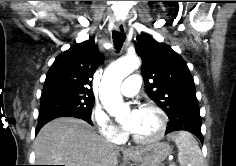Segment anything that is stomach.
<instances>
[{"instance_id": "stomach-1", "label": "stomach", "mask_w": 236, "mask_h": 166, "mask_svg": "<svg viewBox=\"0 0 236 166\" xmlns=\"http://www.w3.org/2000/svg\"><path fill=\"white\" fill-rule=\"evenodd\" d=\"M171 153L172 150L168 143L157 142L136 150L129 155V158L140 162V166H161Z\"/></svg>"}]
</instances>
